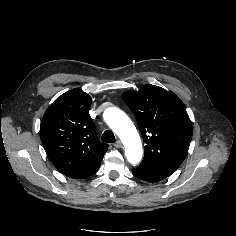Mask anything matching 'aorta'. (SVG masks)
Returning a JSON list of instances; mask_svg holds the SVG:
<instances>
[{"label":"aorta","mask_w":236,"mask_h":236,"mask_svg":"<svg viewBox=\"0 0 236 236\" xmlns=\"http://www.w3.org/2000/svg\"><path fill=\"white\" fill-rule=\"evenodd\" d=\"M104 119L122 140L127 160L131 164H137L142 158V144L130 118L117 107H109L104 111Z\"/></svg>","instance_id":"obj_1"}]
</instances>
